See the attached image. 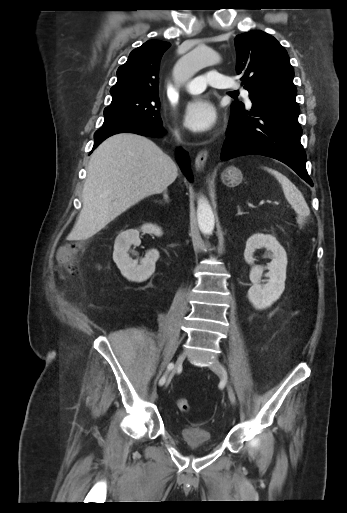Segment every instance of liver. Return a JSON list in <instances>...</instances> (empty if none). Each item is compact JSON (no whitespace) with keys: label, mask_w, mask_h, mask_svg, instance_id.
Returning <instances> with one entry per match:
<instances>
[{"label":"liver","mask_w":347,"mask_h":513,"mask_svg":"<svg viewBox=\"0 0 347 513\" xmlns=\"http://www.w3.org/2000/svg\"><path fill=\"white\" fill-rule=\"evenodd\" d=\"M177 167L152 140L118 133L92 153L83 187V207L70 233L86 240L144 198L162 193Z\"/></svg>","instance_id":"6515ba94"}]
</instances>
